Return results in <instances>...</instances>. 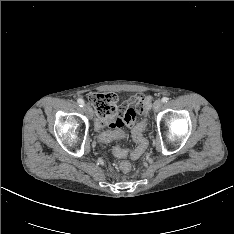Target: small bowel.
I'll return each instance as SVG.
<instances>
[{
    "label": "small bowel",
    "mask_w": 234,
    "mask_h": 234,
    "mask_svg": "<svg viewBox=\"0 0 234 234\" xmlns=\"http://www.w3.org/2000/svg\"><path fill=\"white\" fill-rule=\"evenodd\" d=\"M143 97H144L143 95H138L137 97H133L128 101L126 105L122 107V111L127 114V121L123 126L131 128L132 133L134 132V129L138 127V125H135L136 117L142 116V110H143L142 105L144 102Z\"/></svg>",
    "instance_id": "small-bowel-1"
}]
</instances>
